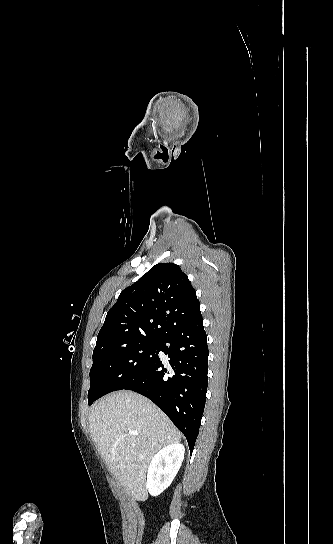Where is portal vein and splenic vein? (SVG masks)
Returning a JSON list of instances; mask_svg holds the SVG:
<instances>
[{
	"mask_svg": "<svg viewBox=\"0 0 333 544\" xmlns=\"http://www.w3.org/2000/svg\"><path fill=\"white\" fill-rule=\"evenodd\" d=\"M130 433H131L132 435H137V432H134V431H132V432H130Z\"/></svg>",
	"mask_w": 333,
	"mask_h": 544,
	"instance_id": "1",
	"label": "portal vein and splenic vein"
}]
</instances>
